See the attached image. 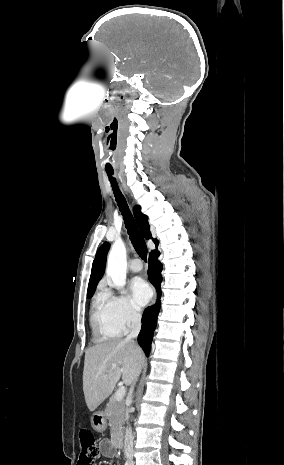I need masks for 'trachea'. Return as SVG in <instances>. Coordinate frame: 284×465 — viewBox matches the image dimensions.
Returning <instances> with one entry per match:
<instances>
[{"label":"trachea","mask_w":284,"mask_h":465,"mask_svg":"<svg viewBox=\"0 0 284 465\" xmlns=\"http://www.w3.org/2000/svg\"><path fill=\"white\" fill-rule=\"evenodd\" d=\"M107 175L109 177V180L111 182V185L113 187L115 197L117 204L119 206V209L121 211V214L123 215L124 223L127 228L128 234L130 236V240L138 253V255L146 261L147 259V246L145 243L144 238L142 237L140 231L138 230V227L135 223V220L132 216V213L130 212L127 202L124 198V196L121 194V192L118 189L117 183L115 179L113 178V170L106 169Z\"/></svg>","instance_id":"obj_1"}]
</instances>
